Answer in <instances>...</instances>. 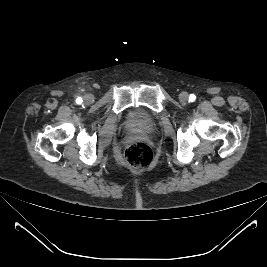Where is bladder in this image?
Listing matches in <instances>:
<instances>
[{
    "mask_svg": "<svg viewBox=\"0 0 267 267\" xmlns=\"http://www.w3.org/2000/svg\"><path fill=\"white\" fill-rule=\"evenodd\" d=\"M126 125L131 129L149 132L155 127V119L150 112L143 108L132 109L127 115Z\"/></svg>",
    "mask_w": 267,
    "mask_h": 267,
    "instance_id": "31cf9c89",
    "label": "bladder"
}]
</instances>
